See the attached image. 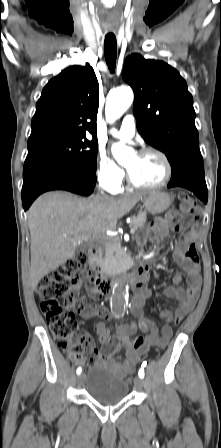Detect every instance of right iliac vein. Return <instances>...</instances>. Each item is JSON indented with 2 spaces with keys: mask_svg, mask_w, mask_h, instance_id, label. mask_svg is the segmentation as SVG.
Instances as JSON below:
<instances>
[{
  "mask_svg": "<svg viewBox=\"0 0 221 448\" xmlns=\"http://www.w3.org/2000/svg\"><path fill=\"white\" fill-rule=\"evenodd\" d=\"M83 378H84V374H80V375L77 377V381H78L79 384H82V383H83Z\"/></svg>",
  "mask_w": 221,
  "mask_h": 448,
  "instance_id": "obj_1",
  "label": "right iliac vein"
}]
</instances>
